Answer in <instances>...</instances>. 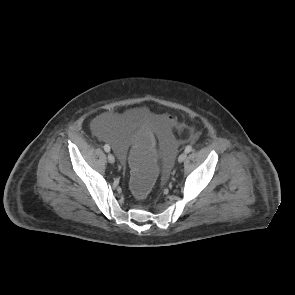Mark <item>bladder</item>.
Returning a JSON list of instances; mask_svg holds the SVG:
<instances>
[{"mask_svg": "<svg viewBox=\"0 0 295 295\" xmlns=\"http://www.w3.org/2000/svg\"><path fill=\"white\" fill-rule=\"evenodd\" d=\"M139 119H146L152 124L154 138L157 143L161 144V149L158 151V156L162 161L161 172L164 175L171 174L172 162L176 159L175 152L178 149V141L171 136L172 129L165 116L129 114L125 118V123L119 125L112 114L104 113L92 121L91 129L102 143L113 144L112 154L115 158L124 159L127 157L130 169V150L134 143L131 139V127Z\"/></svg>", "mask_w": 295, "mask_h": 295, "instance_id": "obj_1", "label": "bladder"}]
</instances>
